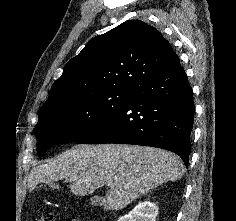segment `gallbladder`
Returning a JSON list of instances; mask_svg holds the SVG:
<instances>
[{
	"label": "gallbladder",
	"instance_id": "bac80fb5",
	"mask_svg": "<svg viewBox=\"0 0 236 221\" xmlns=\"http://www.w3.org/2000/svg\"><path fill=\"white\" fill-rule=\"evenodd\" d=\"M91 204L98 206V205H102L103 204V199L99 196H94L90 199Z\"/></svg>",
	"mask_w": 236,
	"mask_h": 221
}]
</instances>
